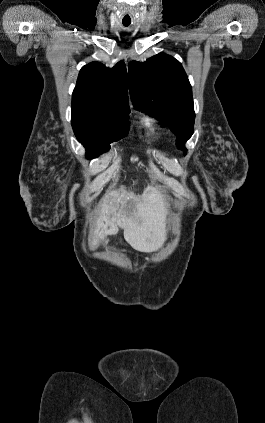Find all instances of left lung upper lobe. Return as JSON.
<instances>
[{"label": "left lung upper lobe", "mask_w": 265, "mask_h": 423, "mask_svg": "<svg viewBox=\"0 0 265 423\" xmlns=\"http://www.w3.org/2000/svg\"><path fill=\"white\" fill-rule=\"evenodd\" d=\"M128 80L133 104L169 126L185 154V142L194 131L195 112L192 88L181 63L163 53L146 62L132 61Z\"/></svg>", "instance_id": "5c2ea615"}]
</instances>
